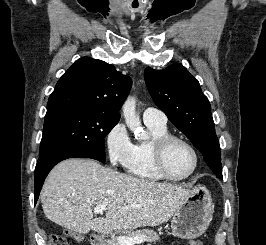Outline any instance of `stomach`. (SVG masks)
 Returning a JSON list of instances; mask_svg holds the SVG:
<instances>
[{"instance_id":"1","label":"stomach","mask_w":266,"mask_h":245,"mask_svg":"<svg viewBox=\"0 0 266 245\" xmlns=\"http://www.w3.org/2000/svg\"><path fill=\"white\" fill-rule=\"evenodd\" d=\"M213 203L212 197L204 185H196L191 195L175 211L171 229L174 237L179 239H196L205 233L212 221Z\"/></svg>"}]
</instances>
